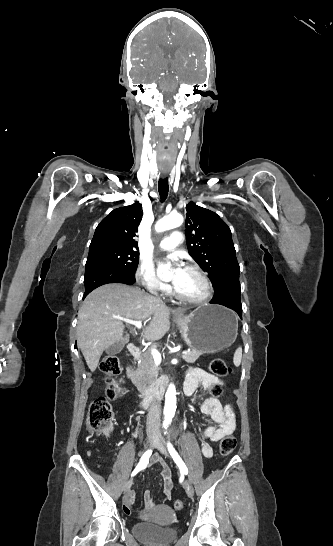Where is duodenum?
Returning a JSON list of instances; mask_svg holds the SVG:
<instances>
[{
  "instance_id": "410a0bca",
  "label": "duodenum",
  "mask_w": 333,
  "mask_h": 546,
  "mask_svg": "<svg viewBox=\"0 0 333 546\" xmlns=\"http://www.w3.org/2000/svg\"><path fill=\"white\" fill-rule=\"evenodd\" d=\"M127 355L131 359H137L140 356V351L135 345L130 344L127 347ZM126 372L127 376L131 377L132 369L130 367L127 368ZM168 384L169 380L166 377L159 378L148 390L142 391L139 394L140 405L147 406L149 404H157L163 397Z\"/></svg>"
}]
</instances>
